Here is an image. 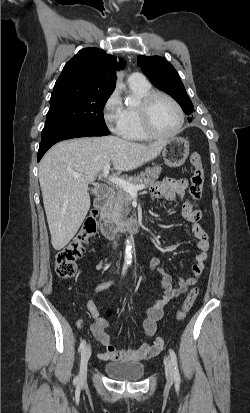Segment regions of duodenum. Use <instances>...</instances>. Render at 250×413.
I'll return each mask as SVG.
<instances>
[{
  "mask_svg": "<svg viewBox=\"0 0 250 413\" xmlns=\"http://www.w3.org/2000/svg\"><path fill=\"white\" fill-rule=\"evenodd\" d=\"M113 190L108 188L103 194L98 196L93 205V212L97 215L100 231L106 238H114L124 233H137L141 229V222L138 218H131L125 221H115L106 211L107 200L112 195Z\"/></svg>",
  "mask_w": 250,
  "mask_h": 413,
  "instance_id": "obj_1",
  "label": "duodenum"
}]
</instances>
